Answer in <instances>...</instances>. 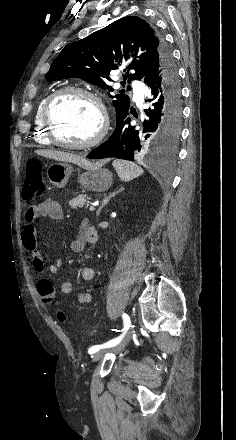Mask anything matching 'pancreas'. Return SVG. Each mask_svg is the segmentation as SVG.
<instances>
[{
  "label": "pancreas",
  "mask_w": 236,
  "mask_h": 440,
  "mask_svg": "<svg viewBox=\"0 0 236 440\" xmlns=\"http://www.w3.org/2000/svg\"><path fill=\"white\" fill-rule=\"evenodd\" d=\"M90 197L86 195H78L77 197L70 200L69 204L73 209L82 208L84 206H88V201Z\"/></svg>",
  "instance_id": "1"
}]
</instances>
